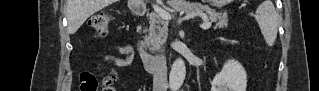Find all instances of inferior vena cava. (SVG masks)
<instances>
[{
  "mask_svg": "<svg viewBox=\"0 0 319 91\" xmlns=\"http://www.w3.org/2000/svg\"><path fill=\"white\" fill-rule=\"evenodd\" d=\"M166 57L162 55L157 61L153 77V91H167Z\"/></svg>",
  "mask_w": 319,
  "mask_h": 91,
  "instance_id": "obj_1",
  "label": "inferior vena cava"
}]
</instances>
